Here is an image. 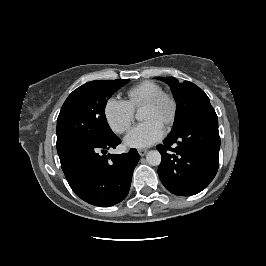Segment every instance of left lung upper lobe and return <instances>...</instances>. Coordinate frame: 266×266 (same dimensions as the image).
Returning a JSON list of instances; mask_svg holds the SVG:
<instances>
[{
    "label": "left lung upper lobe",
    "mask_w": 266,
    "mask_h": 266,
    "mask_svg": "<svg viewBox=\"0 0 266 266\" xmlns=\"http://www.w3.org/2000/svg\"><path fill=\"white\" fill-rule=\"evenodd\" d=\"M159 79L171 87L177 102L175 120L170 135L179 131L193 118L213 108L205 92L192 82L179 83L172 77H160Z\"/></svg>",
    "instance_id": "1"
}]
</instances>
